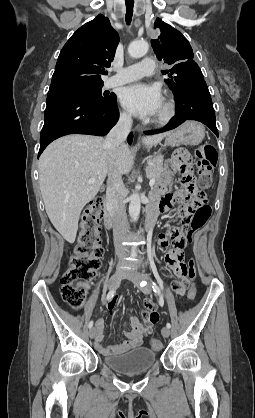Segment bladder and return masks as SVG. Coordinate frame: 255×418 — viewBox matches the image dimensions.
Here are the masks:
<instances>
[{"label":"bladder","mask_w":255,"mask_h":418,"mask_svg":"<svg viewBox=\"0 0 255 418\" xmlns=\"http://www.w3.org/2000/svg\"><path fill=\"white\" fill-rule=\"evenodd\" d=\"M104 363L115 371L131 374L145 371L156 362V352L148 347H137L122 354L103 358Z\"/></svg>","instance_id":"obj_1"}]
</instances>
